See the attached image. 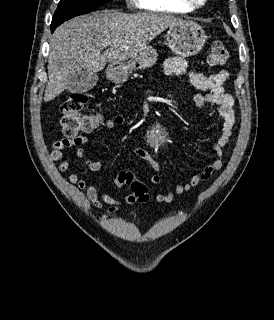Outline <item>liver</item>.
<instances>
[{
    "instance_id": "6515ba94",
    "label": "liver",
    "mask_w": 274,
    "mask_h": 320,
    "mask_svg": "<svg viewBox=\"0 0 274 320\" xmlns=\"http://www.w3.org/2000/svg\"><path fill=\"white\" fill-rule=\"evenodd\" d=\"M179 20L156 12L123 14L118 10H102L65 22L49 42L44 102L54 100L63 90L70 92L76 74L101 72L106 64L136 58L151 40ZM105 42H111L110 48L103 46ZM103 48L107 50L101 54Z\"/></svg>"
}]
</instances>
